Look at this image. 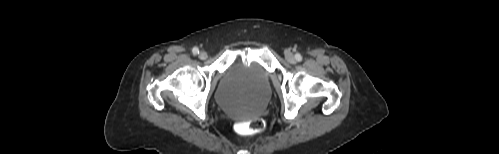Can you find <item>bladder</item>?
I'll return each instance as SVG.
<instances>
[{
    "mask_svg": "<svg viewBox=\"0 0 499 154\" xmlns=\"http://www.w3.org/2000/svg\"><path fill=\"white\" fill-rule=\"evenodd\" d=\"M270 92V75L261 64L237 60L226 70L215 99L228 113L250 116L265 108Z\"/></svg>",
    "mask_w": 499,
    "mask_h": 154,
    "instance_id": "obj_1",
    "label": "bladder"
}]
</instances>
